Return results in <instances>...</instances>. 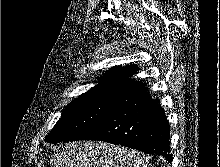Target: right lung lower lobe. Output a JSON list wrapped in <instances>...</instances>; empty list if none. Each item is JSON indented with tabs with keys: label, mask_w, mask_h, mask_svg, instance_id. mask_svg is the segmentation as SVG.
<instances>
[{
	"label": "right lung lower lobe",
	"mask_w": 220,
	"mask_h": 167,
	"mask_svg": "<svg viewBox=\"0 0 220 167\" xmlns=\"http://www.w3.org/2000/svg\"><path fill=\"white\" fill-rule=\"evenodd\" d=\"M142 87L116 98L100 123L82 140L120 144L164 157L170 155V127L158 101Z\"/></svg>",
	"instance_id": "98d812e1"
}]
</instances>
